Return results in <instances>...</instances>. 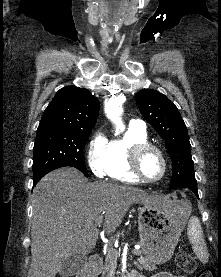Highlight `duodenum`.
Masks as SVG:
<instances>
[{
	"mask_svg": "<svg viewBox=\"0 0 221 277\" xmlns=\"http://www.w3.org/2000/svg\"><path fill=\"white\" fill-rule=\"evenodd\" d=\"M102 266V258L99 255H93L90 258L89 264L79 272L78 277H97ZM132 277H136V275H133Z\"/></svg>",
	"mask_w": 221,
	"mask_h": 277,
	"instance_id": "410a0bca",
	"label": "duodenum"
}]
</instances>
